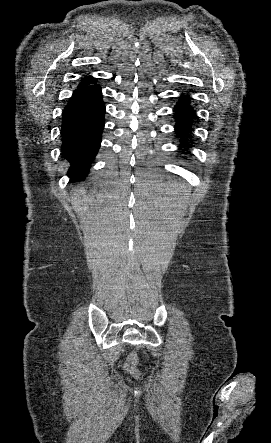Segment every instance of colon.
I'll list each match as a JSON object with an SVG mask.
<instances>
[{"instance_id": "5ec220e1", "label": "colon", "mask_w": 271, "mask_h": 443, "mask_svg": "<svg viewBox=\"0 0 271 443\" xmlns=\"http://www.w3.org/2000/svg\"><path fill=\"white\" fill-rule=\"evenodd\" d=\"M138 363L139 360L137 354L135 352L130 353L124 365L125 371L133 377H138L140 375Z\"/></svg>"}]
</instances>
